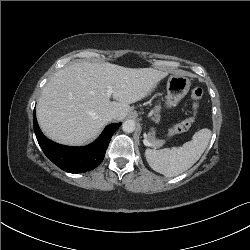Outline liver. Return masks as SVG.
Returning <instances> with one entry per match:
<instances>
[{"label":"liver","instance_id":"6515ba94","mask_svg":"<svg viewBox=\"0 0 250 250\" xmlns=\"http://www.w3.org/2000/svg\"><path fill=\"white\" fill-rule=\"evenodd\" d=\"M168 71L126 68L111 63L78 62L57 71L42 90L36 114L41 130L66 145H82L93 139L109 121L122 120L129 104L150 94ZM112 86V97L107 88Z\"/></svg>","mask_w":250,"mask_h":250}]
</instances>
